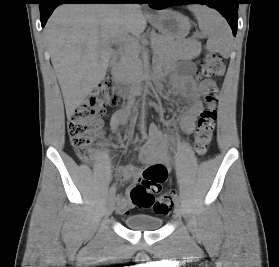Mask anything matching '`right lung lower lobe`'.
Returning <instances> with one entry per match:
<instances>
[{"label": "right lung lower lobe", "mask_w": 279, "mask_h": 267, "mask_svg": "<svg viewBox=\"0 0 279 267\" xmlns=\"http://www.w3.org/2000/svg\"><path fill=\"white\" fill-rule=\"evenodd\" d=\"M128 1L142 3V0H41L39 2L41 25L44 27L53 10L63 3H126Z\"/></svg>", "instance_id": "right-lung-lower-lobe-1"}]
</instances>
